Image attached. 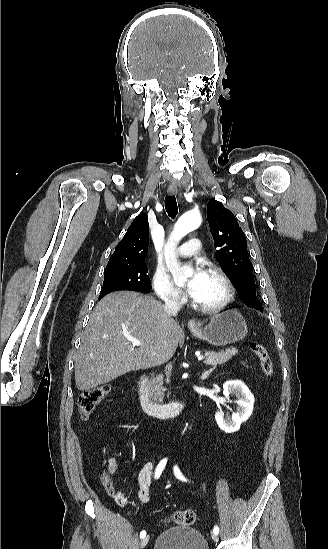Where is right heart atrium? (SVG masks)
<instances>
[{
	"label": "right heart atrium",
	"instance_id": "1",
	"mask_svg": "<svg viewBox=\"0 0 328 549\" xmlns=\"http://www.w3.org/2000/svg\"><path fill=\"white\" fill-rule=\"evenodd\" d=\"M151 286L159 299L156 303H184V298L174 285L170 274L158 264L153 265Z\"/></svg>",
	"mask_w": 328,
	"mask_h": 549
}]
</instances>
